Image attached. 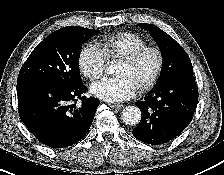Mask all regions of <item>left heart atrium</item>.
<instances>
[{
	"label": "left heart atrium",
	"instance_id": "39dd6f15",
	"mask_svg": "<svg viewBox=\"0 0 224 175\" xmlns=\"http://www.w3.org/2000/svg\"><path fill=\"white\" fill-rule=\"evenodd\" d=\"M91 93L108 102H121L133 97L136 86L125 76L104 77L93 83Z\"/></svg>",
	"mask_w": 224,
	"mask_h": 175
}]
</instances>
